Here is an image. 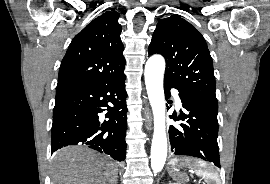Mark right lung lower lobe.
<instances>
[{
  "mask_svg": "<svg viewBox=\"0 0 270 184\" xmlns=\"http://www.w3.org/2000/svg\"><path fill=\"white\" fill-rule=\"evenodd\" d=\"M125 79L122 74L105 82L56 92L52 152L63 146L82 144L115 160H125ZM105 110L109 120L101 123L98 114Z\"/></svg>",
  "mask_w": 270,
  "mask_h": 184,
  "instance_id": "1",
  "label": "right lung lower lobe"
}]
</instances>
